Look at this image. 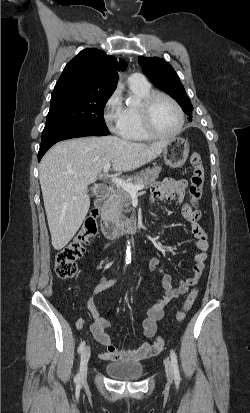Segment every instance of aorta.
I'll return each instance as SVG.
<instances>
[{
  "mask_svg": "<svg viewBox=\"0 0 250 413\" xmlns=\"http://www.w3.org/2000/svg\"><path fill=\"white\" fill-rule=\"evenodd\" d=\"M125 261L127 264L131 263V246L130 241H127L126 257Z\"/></svg>",
  "mask_w": 250,
  "mask_h": 413,
  "instance_id": "762f6f07",
  "label": "aorta"
}]
</instances>
